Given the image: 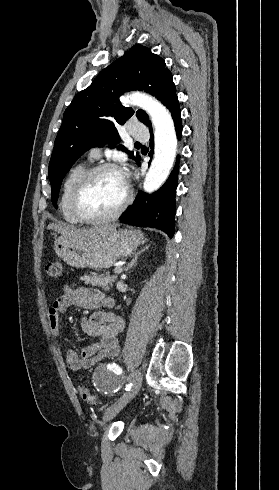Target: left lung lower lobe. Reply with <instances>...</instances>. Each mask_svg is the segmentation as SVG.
Returning <instances> with one entry per match:
<instances>
[{"instance_id": "0a47b994", "label": "left lung lower lobe", "mask_w": 279, "mask_h": 490, "mask_svg": "<svg viewBox=\"0 0 279 490\" xmlns=\"http://www.w3.org/2000/svg\"><path fill=\"white\" fill-rule=\"evenodd\" d=\"M167 108L170 110L175 122L178 138L182 133L181 110L177 96H175ZM151 139L150 144L153 148L152 126L148 125ZM179 158V156L177 157ZM140 165V158L137 161ZM178 163L171 172L165 184L157 191L150 195L139 192L132 206L124 212L119 221L133 226L157 228L168 234L170 238L175 232V194L178 179Z\"/></svg>"}]
</instances>
